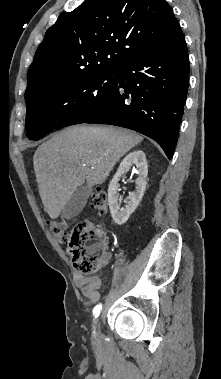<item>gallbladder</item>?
Returning <instances> with one entry per match:
<instances>
[{
  "mask_svg": "<svg viewBox=\"0 0 221 379\" xmlns=\"http://www.w3.org/2000/svg\"><path fill=\"white\" fill-rule=\"evenodd\" d=\"M90 192L91 189L88 184L78 187L62 209L63 218L71 219L77 216L83 210Z\"/></svg>",
  "mask_w": 221,
  "mask_h": 379,
  "instance_id": "gallbladder-1",
  "label": "gallbladder"
}]
</instances>
